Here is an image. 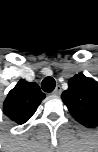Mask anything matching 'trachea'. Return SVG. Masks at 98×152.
I'll return each instance as SVG.
<instances>
[{
    "instance_id": "1",
    "label": "trachea",
    "mask_w": 98,
    "mask_h": 152,
    "mask_svg": "<svg viewBox=\"0 0 98 152\" xmlns=\"http://www.w3.org/2000/svg\"><path fill=\"white\" fill-rule=\"evenodd\" d=\"M56 86V82L52 77H46L41 83V88L45 92H52Z\"/></svg>"
}]
</instances>
